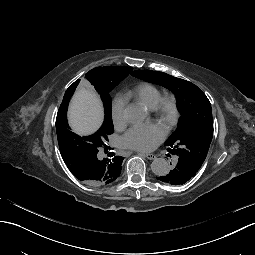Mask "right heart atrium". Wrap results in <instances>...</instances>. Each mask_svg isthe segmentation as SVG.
<instances>
[{"label":"right heart atrium","mask_w":255,"mask_h":255,"mask_svg":"<svg viewBox=\"0 0 255 255\" xmlns=\"http://www.w3.org/2000/svg\"><path fill=\"white\" fill-rule=\"evenodd\" d=\"M111 119L113 125L118 129L123 128L126 124L125 108L120 99H115L112 103Z\"/></svg>","instance_id":"obj_1"}]
</instances>
